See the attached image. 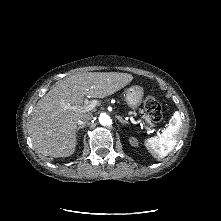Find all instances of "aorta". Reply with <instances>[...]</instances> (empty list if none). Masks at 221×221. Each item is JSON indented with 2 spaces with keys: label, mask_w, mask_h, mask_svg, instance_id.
<instances>
[{
  "label": "aorta",
  "mask_w": 221,
  "mask_h": 221,
  "mask_svg": "<svg viewBox=\"0 0 221 221\" xmlns=\"http://www.w3.org/2000/svg\"><path fill=\"white\" fill-rule=\"evenodd\" d=\"M99 122L103 126H108L112 123V120L109 115H107L106 113H102L99 116Z\"/></svg>",
  "instance_id": "obj_1"
}]
</instances>
